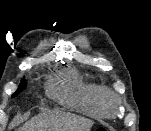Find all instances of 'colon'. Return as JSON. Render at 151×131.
Returning <instances> with one entry per match:
<instances>
[{
    "label": "colon",
    "mask_w": 151,
    "mask_h": 131,
    "mask_svg": "<svg viewBox=\"0 0 151 131\" xmlns=\"http://www.w3.org/2000/svg\"><path fill=\"white\" fill-rule=\"evenodd\" d=\"M96 131H108V130L106 128H104V127H100Z\"/></svg>",
    "instance_id": "colon-1"
}]
</instances>
